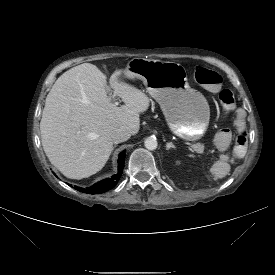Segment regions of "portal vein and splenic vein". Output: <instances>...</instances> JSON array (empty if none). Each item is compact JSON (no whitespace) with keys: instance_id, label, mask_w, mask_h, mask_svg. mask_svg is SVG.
<instances>
[{"instance_id":"18ae733b","label":"portal vein and splenic vein","mask_w":275,"mask_h":275,"mask_svg":"<svg viewBox=\"0 0 275 275\" xmlns=\"http://www.w3.org/2000/svg\"><path fill=\"white\" fill-rule=\"evenodd\" d=\"M114 96H116V93L114 94ZM115 104L117 105L118 103L115 102ZM195 150H196L198 153H202L203 150H204V146H202V147H195Z\"/></svg>"}]
</instances>
